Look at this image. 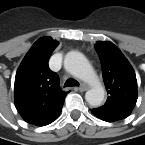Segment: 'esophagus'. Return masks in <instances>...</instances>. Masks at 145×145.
I'll return each instance as SVG.
<instances>
[{
  "label": "esophagus",
  "instance_id": "1",
  "mask_svg": "<svg viewBox=\"0 0 145 145\" xmlns=\"http://www.w3.org/2000/svg\"><path fill=\"white\" fill-rule=\"evenodd\" d=\"M78 90L80 92H84V91L88 90V87L86 85L82 84V85H80V87L78 88Z\"/></svg>",
  "mask_w": 145,
  "mask_h": 145
}]
</instances>
